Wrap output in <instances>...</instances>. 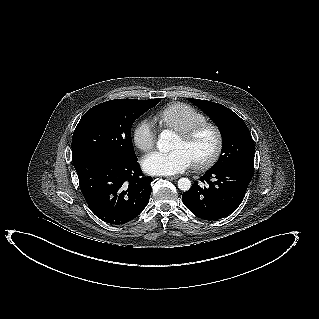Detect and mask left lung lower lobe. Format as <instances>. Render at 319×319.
Instances as JSON below:
<instances>
[{"instance_id": "0a47b994", "label": "left lung lower lobe", "mask_w": 319, "mask_h": 319, "mask_svg": "<svg viewBox=\"0 0 319 319\" xmlns=\"http://www.w3.org/2000/svg\"><path fill=\"white\" fill-rule=\"evenodd\" d=\"M253 172L231 166L209 169L195 181L191 189L184 192V205L197 217L219 220L229 216L241 204Z\"/></svg>"}]
</instances>
